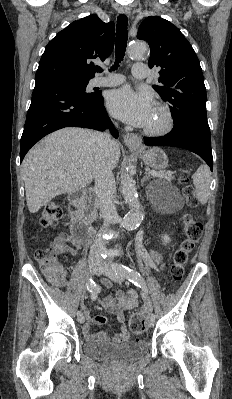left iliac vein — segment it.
Instances as JSON below:
<instances>
[{
	"label": "left iliac vein",
	"instance_id": "4c4485c4",
	"mask_svg": "<svg viewBox=\"0 0 232 399\" xmlns=\"http://www.w3.org/2000/svg\"><path fill=\"white\" fill-rule=\"evenodd\" d=\"M93 272L96 274V275H105V277H108V279H112V282L113 283H121L122 282V279H121V277H117V274H115V272H111L109 269H108V266L107 265H100L99 267H97V268H94L93 269ZM147 327L148 328H152V327H154V321L153 320H148L147 321Z\"/></svg>",
	"mask_w": 232,
	"mask_h": 399
}]
</instances>
